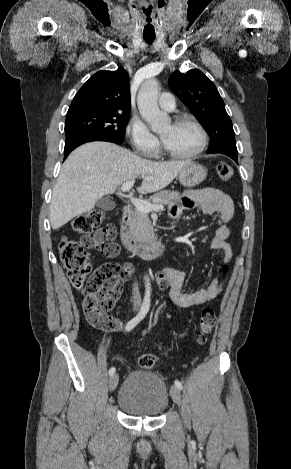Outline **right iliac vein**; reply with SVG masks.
I'll return each mask as SVG.
<instances>
[{
  "instance_id": "1",
  "label": "right iliac vein",
  "mask_w": 291,
  "mask_h": 469,
  "mask_svg": "<svg viewBox=\"0 0 291 469\" xmlns=\"http://www.w3.org/2000/svg\"><path fill=\"white\" fill-rule=\"evenodd\" d=\"M137 308H134V311H136ZM119 377L118 374H113L110 379H109V390L114 391L115 388L118 385Z\"/></svg>"
}]
</instances>
